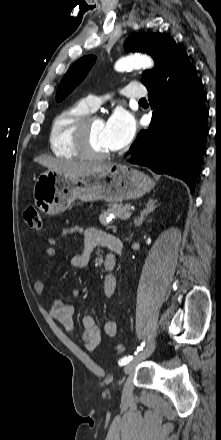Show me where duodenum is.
Segmentation results:
<instances>
[{
  "label": "duodenum",
  "instance_id": "obj_1",
  "mask_svg": "<svg viewBox=\"0 0 221 440\" xmlns=\"http://www.w3.org/2000/svg\"><path fill=\"white\" fill-rule=\"evenodd\" d=\"M109 248L115 254L121 253L122 252V248H123L122 241L120 239H118V238H114L113 240H111V242L109 244ZM115 264H116V261H115V258L113 256V259H108V260L105 261L104 266H105L107 271L111 272L114 269Z\"/></svg>",
  "mask_w": 221,
  "mask_h": 440
}]
</instances>
